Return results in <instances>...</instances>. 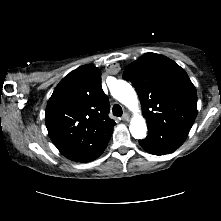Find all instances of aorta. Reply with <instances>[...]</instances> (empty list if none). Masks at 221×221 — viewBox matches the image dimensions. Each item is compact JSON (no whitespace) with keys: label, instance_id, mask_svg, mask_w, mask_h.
Returning a JSON list of instances; mask_svg holds the SVG:
<instances>
[{"label":"aorta","instance_id":"aorta-1","mask_svg":"<svg viewBox=\"0 0 221 221\" xmlns=\"http://www.w3.org/2000/svg\"><path fill=\"white\" fill-rule=\"evenodd\" d=\"M112 96L134 113L130 122V132L135 139H144L147 133L146 121L139 114L138 98L133 87L123 80H117L110 87Z\"/></svg>","mask_w":221,"mask_h":221}]
</instances>
